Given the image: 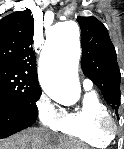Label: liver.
Segmentation results:
<instances>
[{
    "label": "liver",
    "instance_id": "obj_1",
    "mask_svg": "<svg viewBox=\"0 0 124 149\" xmlns=\"http://www.w3.org/2000/svg\"><path fill=\"white\" fill-rule=\"evenodd\" d=\"M0 149H88L83 143L55 136L44 128H30L0 141Z\"/></svg>",
    "mask_w": 124,
    "mask_h": 149
}]
</instances>
